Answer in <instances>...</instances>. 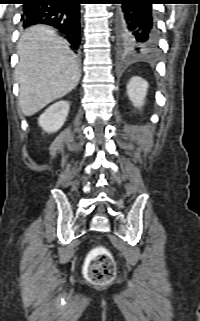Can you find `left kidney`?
Returning a JSON list of instances; mask_svg holds the SVG:
<instances>
[{
  "label": "left kidney",
  "instance_id": "5707ae66",
  "mask_svg": "<svg viewBox=\"0 0 200 321\" xmlns=\"http://www.w3.org/2000/svg\"><path fill=\"white\" fill-rule=\"evenodd\" d=\"M148 87V82L139 76H133L130 79L127 94L135 107L141 108L144 105Z\"/></svg>",
  "mask_w": 200,
  "mask_h": 321
}]
</instances>
